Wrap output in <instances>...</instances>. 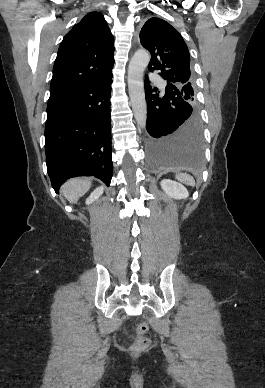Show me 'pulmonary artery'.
I'll use <instances>...</instances> for the list:
<instances>
[{
  "label": "pulmonary artery",
  "mask_w": 265,
  "mask_h": 388,
  "mask_svg": "<svg viewBox=\"0 0 265 388\" xmlns=\"http://www.w3.org/2000/svg\"><path fill=\"white\" fill-rule=\"evenodd\" d=\"M149 77L154 81V82H163L164 77L163 75H158L156 72H151L149 74Z\"/></svg>",
  "instance_id": "e3ab8cb5"
}]
</instances>
